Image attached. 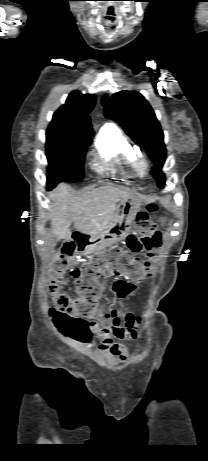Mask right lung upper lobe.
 Returning a JSON list of instances; mask_svg holds the SVG:
<instances>
[{"label": "right lung upper lobe", "instance_id": "1", "mask_svg": "<svg viewBox=\"0 0 208 461\" xmlns=\"http://www.w3.org/2000/svg\"><path fill=\"white\" fill-rule=\"evenodd\" d=\"M94 104L95 95L72 91L66 103L54 113L49 129L69 135H94L88 116Z\"/></svg>", "mask_w": 208, "mask_h": 461}]
</instances>
